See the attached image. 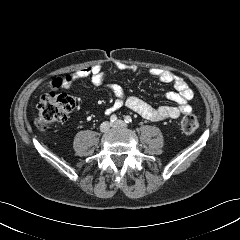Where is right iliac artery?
<instances>
[{
	"instance_id": "right-iliac-artery-1",
	"label": "right iliac artery",
	"mask_w": 240,
	"mask_h": 240,
	"mask_svg": "<svg viewBox=\"0 0 240 240\" xmlns=\"http://www.w3.org/2000/svg\"><path fill=\"white\" fill-rule=\"evenodd\" d=\"M117 120V117H116V115H112L111 117H110V121L113 123V122H115Z\"/></svg>"
}]
</instances>
